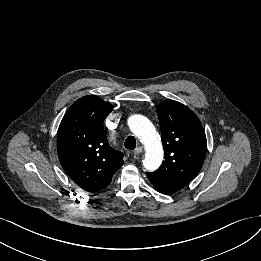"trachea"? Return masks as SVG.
<instances>
[{
  "label": "trachea",
  "instance_id": "1",
  "mask_svg": "<svg viewBox=\"0 0 261 261\" xmlns=\"http://www.w3.org/2000/svg\"><path fill=\"white\" fill-rule=\"evenodd\" d=\"M136 147V139L133 136H128L125 140L126 149H134Z\"/></svg>",
  "mask_w": 261,
  "mask_h": 261
}]
</instances>
